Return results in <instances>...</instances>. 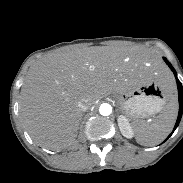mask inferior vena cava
<instances>
[{"label":"inferior vena cava","mask_w":183,"mask_h":183,"mask_svg":"<svg viewBox=\"0 0 183 183\" xmlns=\"http://www.w3.org/2000/svg\"><path fill=\"white\" fill-rule=\"evenodd\" d=\"M78 107L81 111H86L89 108V104L84 99H81L78 102Z\"/></svg>","instance_id":"1"}]
</instances>
